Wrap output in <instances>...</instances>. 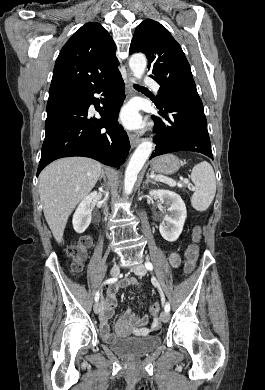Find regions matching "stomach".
I'll list each match as a JSON object with an SVG mask.
<instances>
[{
	"label": "stomach",
	"mask_w": 265,
	"mask_h": 390,
	"mask_svg": "<svg viewBox=\"0 0 265 390\" xmlns=\"http://www.w3.org/2000/svg\"><path fill=\"white\" fill-rule=\"evenodd\" d=\"M180 166L181 161L173 154L157 157L151 162L152 171L165 175L176 173Z\"/></svg>",
	"instance_id": "0dacf381"
}]
</instances>
